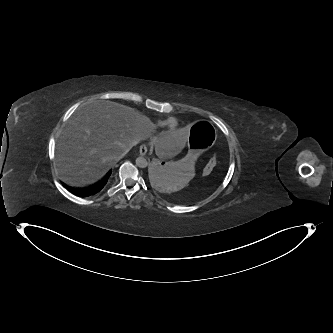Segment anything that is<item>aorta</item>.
<instances>
[{
    "mask_svg": "<svg viewBox=\"0 0 333 333\" xmlns=\"http://www.w3.org/2000/svg\"><path fill=\"white\" fill-rule=\"evenodd\" d=\"M136 165L139 168H146L148 166V161L144 157H138L136 159Z\"/></svg>",
    "mask_w": 333,
    "mask_h": 333,
    "instance_id": "762f6f07",
    "label": "aorta"
}]
</instances>
